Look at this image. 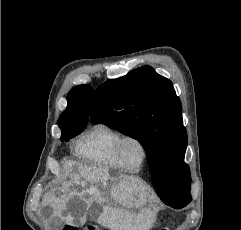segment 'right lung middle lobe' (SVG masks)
<instances>
[{
	"label": "right lung middle lobe",
	"instance_id": "dd1d6c3e",
	"mask_svg": "<svg viewBox=\"0 0 241 230\" xmlns=\"http://www.w3.org/2000/svg\"><path fill=\"white\" fill-rule=\"evenodd\" d=\"M84 127L78 128V127H67V128H61L62 136L61 141H69L70 138L75 137L76 135L80 134L83 131Z\"/></svg>",
	"mask_w": 241,
	"mask_h": 230
}]
</instances>
